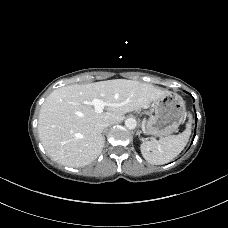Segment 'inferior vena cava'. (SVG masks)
I'll use <instances>...</instances> for the list:
<instances>
[{"label":"inferior vena cava","mask_w":228,"mask_h":228,"mask_svg":"<svg viewBox=\"0 0 228 228\" xmlns=\"http://www.w3.org/2000/svg\"><path fill=\"white\" fill-rule=\"evenodd\" d=\"M110 125L109 121H102L96 124V129L102 132L106 127Z\"/></svg>","instance_id":"1"}]
</instances>
